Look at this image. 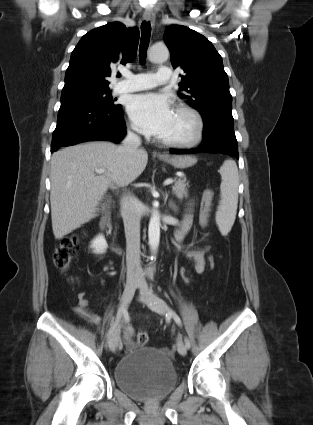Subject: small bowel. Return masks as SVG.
Instances as JSON below:
<instances>
[{"label":"small bowel","mask_w":313,"mask_h":425,"mask_svg":"<svg viewBox=\"0 0 313 425\" xmlns=\"http://www.w3.org/2000/svg\"><path fill=\"white\" fill-rule=\"evenodd\" d=\"M213 193L211 190H205L202 196V210H201V222L205 224L207 222L208 212L211 206ZM192 219L189 215L185 216L182 220L180 227L177 229L174 235L176 245L180 246L184 237L190 230ZM186 257L193 262L196 273L201 274L206 271V260L204 257L203 250H187ZM75 312L90 323H99L101 318L95 314L88 304L86 293L81 291L77 294V305L74 308ZM135 334L134 329L131 326H126L124 330V338L127 345L132 344V338Z\"/></svg>","instance_id":"small-bowel-1"}]
</instances>
